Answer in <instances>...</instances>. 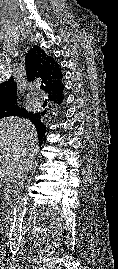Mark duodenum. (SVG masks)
<instances>
[{"mask_svg":"<svg viewBox=\"0 0 118 269\" xmlns=\"http://www.w3.org/2000/svg\"><path fill=\"white\" fill-rule=\"evenodd\" d=\"M3 229L7 232L11 225H12V219L9 216H6L2 221Z\"/></svg>","mask_w":118,"mask_h":269,"instance_id":"duodenum-1","label":"duodenum"}]
</instances>
